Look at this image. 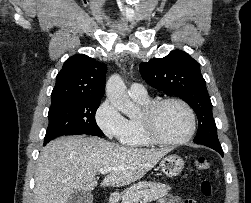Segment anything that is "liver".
<instances>
[{
	"label": "liver",
	"mask_w": 251,
	"mask_h": 203,
	"mask_svg": "<svg viewBox=\"0 0 251 203\" xmlns=\"http://www.w3.org/2000/svg\"><path fill=\"white\" fill-rule=\"evenodd\" d=\"M170 149L129 148L97 137L64 136L41 151L35 173L34 203H67L75 191L97 186L95 175L114 168L102 186H125L141 179Z\"/></svg>",
	"instance_id": "1"
}]
</instances>
